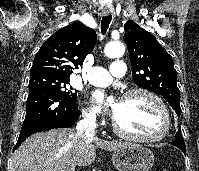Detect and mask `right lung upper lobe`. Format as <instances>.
<instances>
[{"mask_svg": "<svg viewBox=\"0 0 199 171\" xmlns=\"http://www.w3.org/2000/svg\"><path fill=\"white\" fill-rule=\"evenodd\" d=\"M96 32L74 22L55 32L37 52L30 76L47 74L68 78L96 45Z\"/></svg>", "mask_w": 199, "mask_h": 171, "instance_id": "1", "label": "right lung upper lobe"}]
</instances>
